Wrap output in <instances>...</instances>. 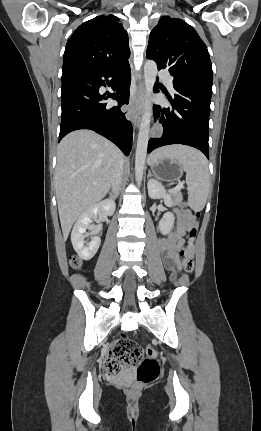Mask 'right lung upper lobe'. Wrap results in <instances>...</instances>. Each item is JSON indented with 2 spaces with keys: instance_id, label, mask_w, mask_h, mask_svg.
<instances>
[{
  "instance_id": "1",
  "label": "right lung upper lobe",
  "mask_w": 261,
  "mask_h": 431,
  "mask_svg": "<svg viewBox=\"0 0 261 431\" xmlns=\"http://www.w3.org/2000/svg\"><path fill=\"white\" fill-rule=\"evenodd\" d=\"M128 34L114 15H101L80 25L66 44L63 71L114 68L128 63Z\"/></svg>"
}]
</instances>
